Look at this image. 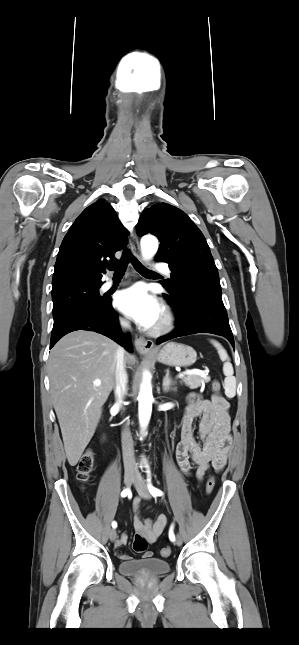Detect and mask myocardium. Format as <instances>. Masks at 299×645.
Listing matches in <instances>:
<instances>
[{"label":"myocardium","instance_id":"myocardium-1","mask_svg":"<svg viewBox=\"0 0 299 645\" xmlns=\"http://www.w3.org/2000/svg\"><path fill=\"white\" fill-rule=\"evenodd\" d=\"M173 324H174V316L172 312L169 309L164 308L161 311L156 324L150 330V333L152 335H160V334L166 333L173 327Z\"/></svg>","mask_w":299,"mask_h":645}]
</instances>
